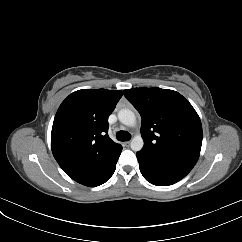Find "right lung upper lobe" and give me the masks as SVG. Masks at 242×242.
Segmentation results:
<instances>
[{"instance_id":"obj_1","label":"right lung upper lobe","mask_w":242,"mask_h":242,"mask_svg":"<svg viewBox=\"0 0 242 242\" xmlns=\"http://www.w3.org/2000/svg\"><path fill=\"white\" fill-rule=\"evenodd\" d=\"M122 95L119 90L82 89L71 93L60 105L52 126L51 149L73 180L122 148L107 134L108 117Z\"/></svg>"}]
</instances>
